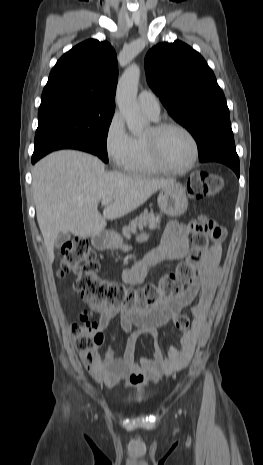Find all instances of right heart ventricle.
Masks as SVG:
<instances>
[{
	"label": "right heart ventricle",
	"mask_w": 263,
	"mask_h": 465,
	"mask_svg": "<svg viewBox=\"0 0 263 465\" xmlns=\"http://www.w3.org/2000/svg\"><path fill=\"white\" fill-rule=\"evenodd\" d=\"M151 118V117H150ZM156 121L157 119L151 118ZM132 155L128 162L126 170L136 174L155 173L160 171L150 160L144 137L133 136Z\"/></svg>",
	"instance_id": "right-heart-ventricle-1"
}]
</instances>
